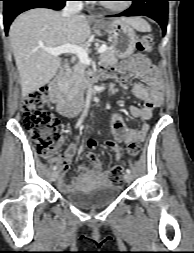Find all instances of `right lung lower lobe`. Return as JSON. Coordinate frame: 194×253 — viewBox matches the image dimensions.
I'll use <instances>...</instances> for the list:
<instances>
[{"mask_svg":"<svg viewBox=\"0 0 194 253\" xmlns=\"http://www.w3.org/2000/svg\"><path fill=\"white\" fill-rule=\"evenodd\" d=\"M4 2V25L5 33L8 34V29L14 18L20 13L32 8H50L60 10L64 7L66 0H0Z\"/></svg>","mask_w":194,"mask_h":253,"instance_id":"1","label":"right lung lower lobe"}]
</instances>
